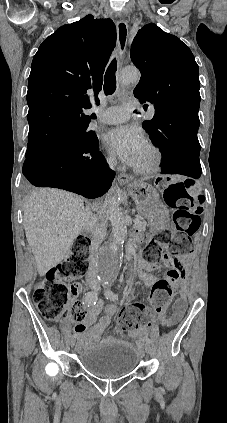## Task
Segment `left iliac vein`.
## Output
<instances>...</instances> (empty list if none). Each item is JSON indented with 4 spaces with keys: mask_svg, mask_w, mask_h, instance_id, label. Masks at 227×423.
I'll use <instances>...</instances> for the list:
<instances>
[{
    "mask_svg": "<svg viewBox=\"0 0 227 423\" xmlns=\"http://www.w3.org/2000/svg\"><path fill=\"white\" fill-rule=\"evenodd\" d=\"M151 345L150 344H145V350L147 353L151 352Z\"/></svg>",
    "mask_w": 227,
    "mask_h": 423,
    "instance_id": "1",
    "label": "left iliac vein"
}]
</instances>
